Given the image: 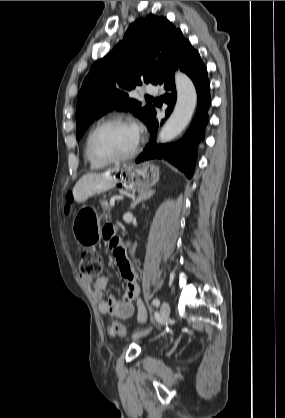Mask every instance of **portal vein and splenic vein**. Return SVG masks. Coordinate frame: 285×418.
Returning a JSON list of instances; mask_svg holds the SVG:
<instances>
[{
	"instance_id": "18ae733b",
	"label": "portal vein and splenic vein",
	"mask_w": 285,
	"mask_h": 418,
	"mask_svg": "<svg viewBox=\"0 0 285 418\" xmlns=\"http://www.w3.org/2000/svg\"><path fill=\"white\" fill-rule=\"evenodd\" d=\"M117 199H118V200H122L123 198H122V197H117ZM110 204H111V206H114V205H115V201H114V200H112V201L110 202Z\"/></svg>"
}]
</instances>
